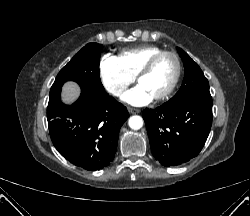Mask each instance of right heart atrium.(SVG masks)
I'll list each match as a JSON object with an SVG mask.
<instances>
[{
    "instance_id": "right-heart-atrium-1",
    "label": "right heart atrium",
    "mask_w": 250,
    "mask_h": 216,
    "mask_svg": "<svg viewBox=\"0 0 250 216\" xmlns=\"http://www.w3.org/2000/svg\"><path fill=\"white\" fill-rule=\"evenodd\" d=\"M99 72L103 86L113 96H122L135 81L116 56L106 54L101 58Z\"/></svg>"
}]
</instances>
